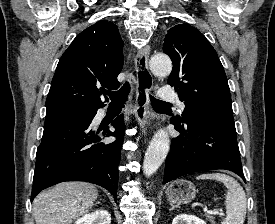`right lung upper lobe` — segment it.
<instances>
[{"label":"right lung upper lobe","mask_w":275,"mask_h":224,"mask_svg":"<svg viewBox=\"0 0 275 224\" xmlns=\"http://www.w3.org/2000/svg\"><path fill=\"white\" fill-rule=\"evenodd\" d=\"M123 45L118 27L112 22L101 20L82 31L59 60L46 112L104 106L100 90L120 86L117 76L123 67Z\"/></svg>","instance_id":"1"}]
</instances>
